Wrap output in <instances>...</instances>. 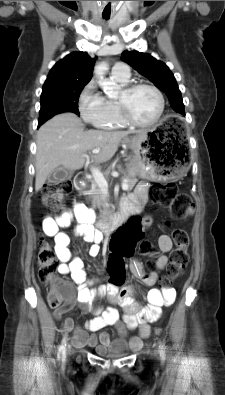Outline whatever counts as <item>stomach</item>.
I'll return each instance as SVG.
<instances>
[{"label": "stomach", "mask_w": 225, "mask_h": 395, "mask_svg": "<svg viewBox=\"0 0 225 395\" xmlns=\"http://www.w3.org/2000/svg\"><path fill=\"white\" fill-rule=\"evenodd\" d=\"M126 142L134 152L127 165L130 176H139L149 181H164L184 175L185 164H182L181 158L176 159L177 154H167L168 149L162 146L164 141L160 140L156 128L148 131L145 137L136 134L127 138Z\"/></svg>", "instance_id": "0dacf381"}]
</instances>
